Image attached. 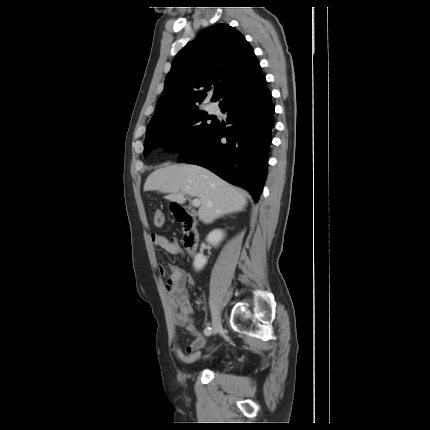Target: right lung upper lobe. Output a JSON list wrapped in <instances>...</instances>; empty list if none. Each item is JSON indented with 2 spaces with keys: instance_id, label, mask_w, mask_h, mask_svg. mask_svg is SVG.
Instances as JSON below:
<instances>
[{
  "instance_id": "right-lung-upper-lobe-1",
  "label": "right lung upper lobe",
  "mask_w": 430,
  "mask_h": 430,
  "mask_svg": "<svg viewBox=\"0 0 430 430\" xmlns=\"http://www.w3.org/2000/svg\"><path fill=\"white\" fill-rule=\"evenodd\" d=\"M262 76L253 48L239 31L223 23L209 27L175 56L147 129L198 108L208 92H213L212 101L222 104L244 80Z\"/></svg>"
}]
</instances>
